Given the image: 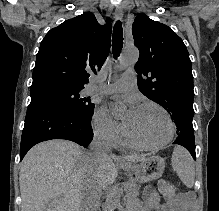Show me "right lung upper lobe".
<instances>
[{
  "instance_id": "1",
  "label": "right lung upper lobe",
  "mask_w": 219,
  "mask_h": 211,
  "mask_svg": "<svg viewBox=\"0 0 219 211\" xmlns=\"http://www.w3.org/2000/svg\"><path fill=\"white\" fill-rule=\"evenodd\" d=\"M111 21L102 26L87 12L51 29L37 54L31 92L50 84L83 89L87 71L100 70L108 55Z\"/></svg>"
}]
</instances>
